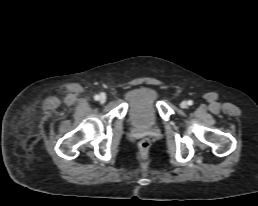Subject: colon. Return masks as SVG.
I'll use <instances>...</instances> for the list:
<instances>
[{"mask_svg": "<svg viewBox=\"0 0 258 206\" xmlns=\"http://www.w3.org/2000/svg\"><path fill=\"white\" fill-rule=\"evenodd\" d=\"M151 146V141L149 138H143L139 142V150L142 154H147Z\"/></svg>", "mask_w": 258, "mask_h": 206, "instance_id": "obj_1", "label": "colon"}]
</instances>
